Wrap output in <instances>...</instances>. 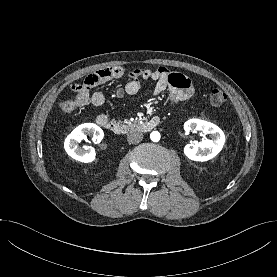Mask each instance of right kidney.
<instances>
[{
  "instance_id": "right-kidney-1",
  "label": "right kidney",
  "mask_w": 277,
  "mask_h": 277,
  "mask_svg": "<svg viewBox=\"0 0 277 277\" xmlns=\"http://www.w3.org/2000/svg\"><path fill=\"white\" fill-rule=\"evenodd\" d=\"M87 134L93 135V142L100 143L104 137L103 130L93 123H84L76 127L65 139L64 148L67 154L73 159L89 163L95 160V150L80 149L78 143L86 138Z\"/></svg>"
}]
</instances>
